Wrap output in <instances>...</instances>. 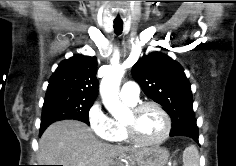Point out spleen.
I'll list each match as a JSON object with an SVG mask.
<instances>
[{
	"label": "spleen",
	"instance_id": "1",
	"mask_svg": "<svg viewBox=\"0 0 236 166\" xmlns=\"http://www.w3.org/2000/svg\"><path fill=\"white\" fill-rule=\"evenodd\" d=\"M183 166H199V153L194 145H190L184 150Z\"/></svg>",
	"mask_w": 236,
	"mask_h": 166
}]
</instances>
